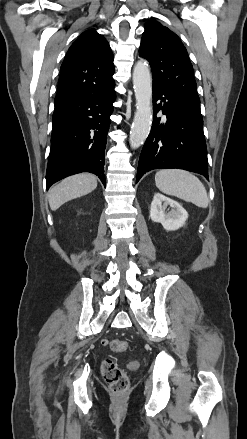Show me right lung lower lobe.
<instances>
[{
    "label": "right lung lower lobe",
    "mask_w": 247,
    "mask_h": 439,
    "mask_svg": "<svg viewBox=\"0 0 247 439\" xmlns=\"http://www.w3.org/2000/svg\"><path fill=\"white\" fill-rule=\"evenodd\" d=\"M113 88L114 85L102 93L78 98L54 110L47 189L80 172L94 173L106 185L104 151L115 99Z\"/></svg>",
    "instance_id": "1"
}]
</instances>
